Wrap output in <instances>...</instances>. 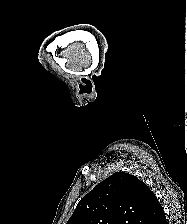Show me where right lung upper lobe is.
I'll list each match as a JSON object with an SVG mask.
<instances>
[{
  "label": "right lung upper lobe",
  "instance_id": "1",
  "mask_svg": "<svg viewBox=\"0 0 187 224\" xmlns=\"http://www.w3.org/2000/svg\"><path fill=\"white\" fill-rule=\"evenodd\" d=\"M155 194L136 176L116 172L78 203L67 224H163Z\"/></svg>",
  "mask_w": 187,
  "mask_h": 224
}]
</instances>
